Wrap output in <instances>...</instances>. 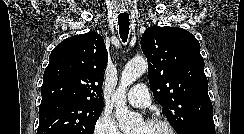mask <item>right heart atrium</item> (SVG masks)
<instances>
[{"label": "right heart atrium", "instance_id": "d8ad5b80", "mask_svg": "<svg viewBox=\"0 0 244 134\" xmlns=\"http://www.w3.org/2000/svg\"><path fill=\"white\" fill-rule=\"evenodd\" d=\"M93 134H123L116 120L108 112H102L93 127Z\"/></svg>", "mask_w": 244, "mask_h": 134}]
</instances>
